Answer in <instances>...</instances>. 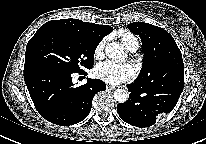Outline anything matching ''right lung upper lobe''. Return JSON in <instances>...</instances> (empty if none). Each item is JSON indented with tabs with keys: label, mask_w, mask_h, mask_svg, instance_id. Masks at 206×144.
<instances>
[{
	"label": "right lung upper lobe",
	"mask_w": 206,
	"mask_h": 144,
	"mask_svg": "<svg viewBox=\"0 0 206 144\" xmlns=\"http://www.w3.org/2000/svg\"><path fill=\"white\" fill-rule=\"evenodd\" d=\"M45 25L67 28L100 41L113 31V28L109 25H98L78 19L52 20L45 23Z\"/></svg>",
	"instance_id": "cb5924a9"
}]
</instances>
